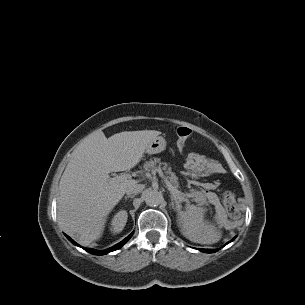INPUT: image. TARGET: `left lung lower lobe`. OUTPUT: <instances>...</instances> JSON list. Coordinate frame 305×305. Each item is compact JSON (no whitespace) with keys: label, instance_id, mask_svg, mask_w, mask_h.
Listing matches in <instances>:
<instances>
[{"label":"left lung lower lobe","instance_id":"0a47b994","mask_svg":"<svg viewBox=\"0 0 305 305\" xmlns=\"http://www.w3.org/2000/svg\"><path fill=\"white\" fill-rule=\"evenodd\" d=\"M198 250L205 252V253H214V252L218 251V249H198Z\"/></svg>","mask_w":305,"mask_h":305}]
</instances>
